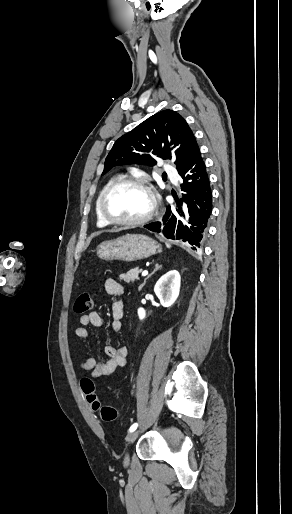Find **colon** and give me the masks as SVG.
Returning <instances> with one entry per match:
<instances>
[{
    "mask_svg": "<svg viewBox=\"0 0 292 514\" xmlns=\"http://www.w3.org/2000/svg\"><path fill=\"white\" fill-rule=\"evenodd\" d=\"M92 306L93 300L91 294L81 293L75 300L74 310L77 314H86L92 309ZM81 389L84 393L89 394L87 397V403L92 405V407L99 413L100 417L104 421H109L116 418L117 410L112 406L102 404L97 399V397L93 395L95 385L89 374H86L84 379H82Z\"/></svg>",
    "mask_w": 292,
    "mask_h": 514,
    "instance_id": "1",
    "label": "colon"
}]
</instances>
